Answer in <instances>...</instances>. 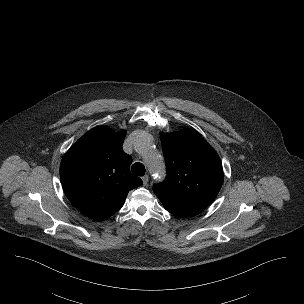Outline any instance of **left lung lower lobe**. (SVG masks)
Returning a JSON list of instances; mask_svg holds the SVG:
<instances>
[{"instance_id":"1","label":"left lung lower lobe","mask_w":304,"mask_h":304,"mask_svg":"<svg viewBox=\"0 0 304 304\" xmlns=\"http://www.w3.org/2000/svg\"><path fill=\"white\" fill-rule=\"evenodd\" d=\"M165 209H166L167 211H169L170 213L176 215V216L185 217V215H183V214H181V213H179V212H177V211H175V210H173V209H170V208H167V207H165Z\"/></svg>"}]
</instances>
